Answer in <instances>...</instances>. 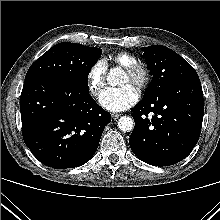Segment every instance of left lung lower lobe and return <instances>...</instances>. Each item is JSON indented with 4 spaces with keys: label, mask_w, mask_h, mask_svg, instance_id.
<instances>
[{
    "label": "left lung lower lobe",
    "mask_w": 220,
    "mask_h": 220,
    "mask_svg": "<svg viewBox=\"0 0 220 220\" xmlns=\"http://www.w3.org/2000/svg\"><path fill=\"white\" fill-rule=\"evenodd\" d=\"M132 111L135 127L129 144L134 154L154 166L180 162L195 147L201 133L204 101L200 79L180 81L141 101Z\"/></svg>",
    "instance_id": "obj_1"
}]
</instances>
